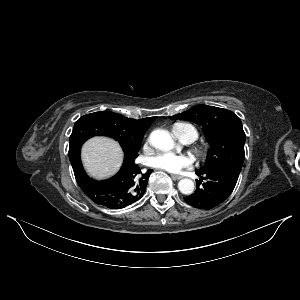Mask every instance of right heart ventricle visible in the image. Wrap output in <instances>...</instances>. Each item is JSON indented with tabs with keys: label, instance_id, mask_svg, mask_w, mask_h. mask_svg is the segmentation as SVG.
<instances>
[{
	"label": "right heart ventricle",
	"instance_id": "right-heart-ventricle-1",
	"mask_svg": "<svg viewBox=\"0 0 300 300\" xmlns=\"http://www.w3.org/2000/svg\"><path fill=\"white\" fill-rule=\"evenodd\" d=\"M174 134L180 139L182 137L183 134L185 133H191L194 138L196 139L198 137V132L195 129V127H193L190 124H185V123H181V124H177L174 126L173 128Z\"/></svg>",
	"mask_w": 300,
	"mask_h": 300
}]
</instances>
